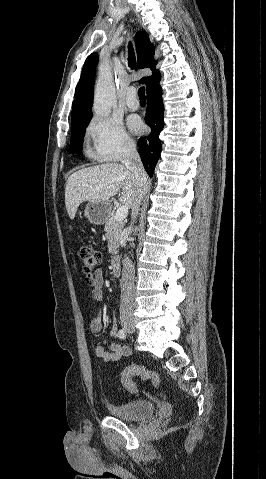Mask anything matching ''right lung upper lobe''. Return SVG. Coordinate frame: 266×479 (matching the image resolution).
Returning a JSON list of instances; mask_svg holds the SVG:
<instances>
[{"instance_id":"cb5924a9","label":"right lung upper lobe","mask_w":266,"mask_h":479,"mask_svg":"<svg viewBox=\"0 0 266 479\" xmlns=\"http://www.w3.org/2000/svg\"><path fill=\"white\" fill-rule=\"evenodd\" d=\"M135 45L138 57V68H150L153 72L150 77H143L140 83L146 85V90L160 82V72L155 70L156 62L152 53L154 46L150 42L149 36L145 31L137 32L135 35ZM98 54H90L83 66L80 80L76 87L75 100L72 105L71 123L92 117L91 106L94 96V80Z\"/></svg>"}]
</instances>
